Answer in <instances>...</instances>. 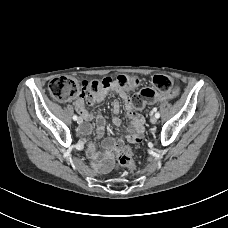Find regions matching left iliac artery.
Listing matches in <instances>:
<instances>
[{"label": "left iliac artery", "mask_w": 228, "mask_h": 228, "mask_svg": "<svg viewBox=\"0 0 228 228\" xmlns=\"http://www.w3.org/2000/svg\"><path fill=\"white\" fill-rule=\"evenodd\" d=\"M155 117H156V118H159V117H160V113L157 112V113L155 114Z\"/></svg>", "instance_id": "44dca946"}]
</instances>
